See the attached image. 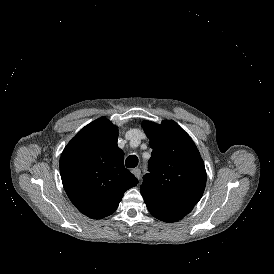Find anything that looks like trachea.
<instances>
[{"instance_id":"3493384b","label":"trachea","mask_w":274,"mask_h":274,"mask_svg":"<svg viewBox=\"0 0 274 274\" xmlns=\"http://www.w3.org/2000/svg\"><path fill=\"white\" fill-rule=\"evenodd\" d=\"M126 167L134 168L138 165V158L135 155L128 156L125 161Z\"/></svg>"}]
</instances>
